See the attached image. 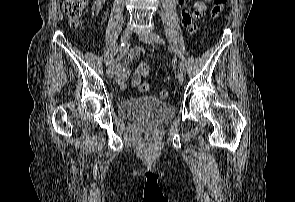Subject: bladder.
<instances>
[{
	"mask_svg": "<svg viewBox=\"0 0 295 202\" xmlns=\"http://www.w3.org/2000/svg\"><path fill=\"white\" fill-rule=\"evenodd\" d=\"M119 115L133 121L163 123L172 119L174 108L169 102L153 96L136 97L124 100L120 104Z\"/></svg>",
	"mask_w": 295,
	"mask_h": 202,
	"instance_id": "1",
	"label": "bladder"
}]
</instances>
